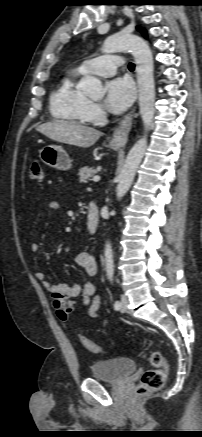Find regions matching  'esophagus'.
Here are the masks:
<instances>
[{"label": "esophagus", "mask_w": 202, "mask_h": 437, "mask_svg": "<svg viewBox=\"0 0 202 437\" xmlns=\"http://www.w3.org/2000/svg\"><path fill=\"white\" fill-rule=\"evenodd\" d=\"M136 106L121 120L119 125L114 130L111 143L118 146H123L128 140V134L131 130L133 119L136 115Z\"/></svg>", "instance_id": "1"}]
</instances>
